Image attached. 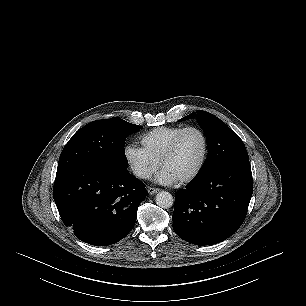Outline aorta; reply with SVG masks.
Segmentation results:
<instances>
[{
  "label": "aorta",
  "mask_w": 306,
  "mask_h": 306,
  "mask_svg": "<svg viewBox=\"0 0 306 306\" xmlns=\"http://www.w3.org/2000/svg\"><path fill=\"white\" fill-rule=\"evenodd\" d=\"M156 204L161 208H170L174 203L173 196L166 191H161L156 195Z\"/></svg>",
  "instance_id": "aorta-1"
}]
</instances>
